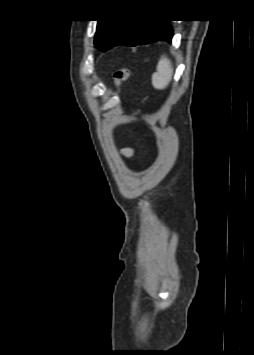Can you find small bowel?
<instances>
[{
	"label": "small bowel",
	"instance_id": "1",
	"mask_svg": "<svg viewBox=\"0 0 254 355\" xmlns=\"http://www.w3.org/2000/svg\"><path fill=\"white\" fill-rule=\"evenodd\" d=\"M123 154H124L126 157L131 158V157H133V155H134V150H133V149H130V148L125 149V150L123 151Z\"/></svg>",
	"mask_w": 254,
	"mask_h": 355
}]
</instances>
